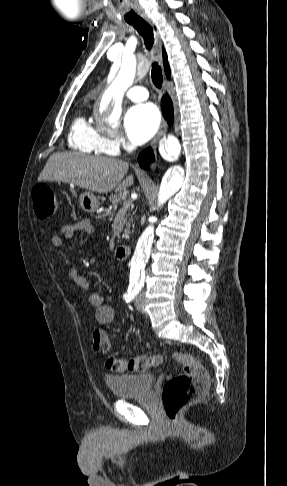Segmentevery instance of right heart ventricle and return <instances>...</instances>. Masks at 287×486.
<instances>
[{
	"instance_id": "e07e8e85",
	"label": "right heart ventricle",
	"mask_w": 287,
	"mask_h": 486,
	"mask_svg": "<svg viewBox=\"0 0 287 486\" xmlns=\"http://www.w3.org/2000/svg\"><path fill=\"white\" fill-rule=\"evenodd\" d=\"M105 137L88 121L85 116H78L73 121L69 136V146L81 153L109 154L104 148Z\"/></svg>"
}]
</instances>
